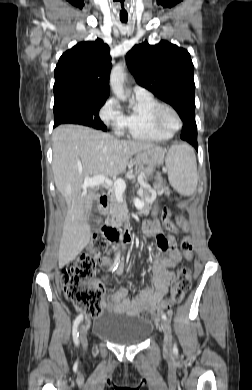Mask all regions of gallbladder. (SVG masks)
<instances>
[{
	"label": "gallbladder",
	"instance_id": "obj_1",
	"mask_svg": "<svg viewBox=\"0 0 252 390\" xmlns=\"http://www.w3.org/2000/svg\"><path fill=\"white\" fill-rule=\"evenodd\" d=\"M89 225L92 232L99 230L101 227V219L97 209H94V213L90 216Z\"/></svg>",
	"mask_w": 252,
	"mask_h": 390
}]
</instances>
